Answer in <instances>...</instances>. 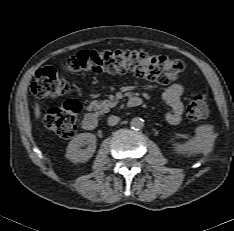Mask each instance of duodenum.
Listing matches in <instances>:
<instances>
[{
  "label": "duodenum",
  "mask_w": 234,
  "mask_h": 231,
  "mask_svg": "<svg viewBox=\"0 0 234 231\" xmlns=\"http://www.w3.org/2000/svg\"><path fill=\"white\" fill-rule=\"evenodd\" d=\"M142 104V99L138 96H132L128 100V105L130 107H138ZM82 126L85 130H94L98 126V118L94 113L85 114Z\"/></svg>",
  "instance_id": "410a0bca"
}]
</instances>
